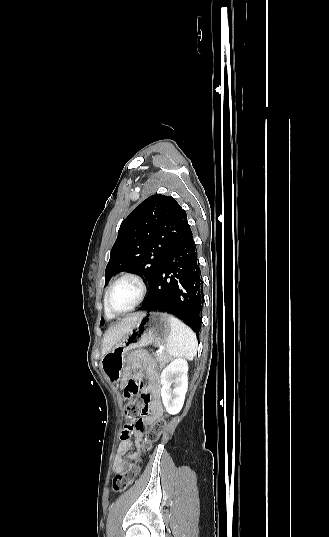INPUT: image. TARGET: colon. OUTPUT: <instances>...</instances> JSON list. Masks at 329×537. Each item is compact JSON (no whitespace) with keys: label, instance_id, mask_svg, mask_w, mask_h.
Returning <instances> with one entry per match:
<instances>
[{"label":"colon","instance_id":"colon-1","mask_svg":"<svg viewBox=\"0 0 329 537\" xmlns=\"http://www.w3.org/2000/svg\"><path fill=\"white\" fill-rule=\"evenodd\" d=\"M149 400L146 393L140 392L138 396H130L126 400L124 408L125 421L128 429H135L143 434L142 444L140 450L146 452L150 449L152 444L157 441L165 428V419L161 418L152 424L150 427H145L140 416L144 414L145 406ZM139 472L138 462L130 465V467L123 473L118 474L112 480V488L114 492L120 493L125 491L134 481Z\"/></svg>","mask_w":329,"mask_h":537}]
</instances>
